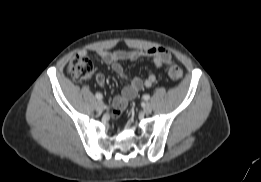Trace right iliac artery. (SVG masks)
Listing matches in <instances>:
<instances>
[{
	"label": "right iliac artery",
	"mask_w": 261,
	"mask_h": 182,
	"mask_svg": "<svg viewBox=\"0 0 261 182\" xmlns=\"http://www.w3.org/2000/svg\"><path fill=\"white\" fill-rule=\"evenodd\" d=\"M95 97L98 99V100H102L103 99V96L101 93H96L95 94Z\"/></svg>",
	"instance_id": "1"
}]
</instances>
